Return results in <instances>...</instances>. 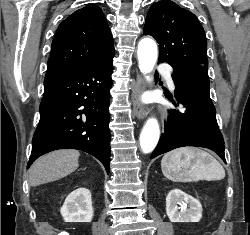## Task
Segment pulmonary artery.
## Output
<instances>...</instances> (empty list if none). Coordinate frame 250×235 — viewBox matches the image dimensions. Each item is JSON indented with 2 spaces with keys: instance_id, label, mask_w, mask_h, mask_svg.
Here are the masks:
<instances>
[{
  "instance_id": "1",
  "label": "pulmonary artery",
  "mask_w": 250,
  "mask_h": 235,
  "mask_svg": "<svg viewBox=\"0 0 250 235\" xmlns=\"http://www.w3.org/2000/svg\"><path fill=\"white\" fill-rule=\"evenodd\" d=\"M161 71L166 75V79H167V82H168L170 88L174 89L175 85H174V82H173V80L171 78L170 71L168 69H166V68H163Z\"/></svg>"
}]
</instances>
